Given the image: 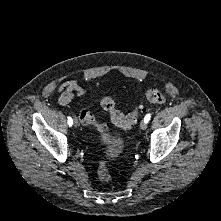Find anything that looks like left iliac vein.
<instances>
[{"label":"left iliac vein","instance_id":"left-iliac-vein-1","mask_svg":"<svg viewBox=\"0 0 221 221\" xmlns=\"http://www.w3.org/2000/svg\"><path fill=\"white\" fill-rule=\"evenodd\" d=\"M147 123L145 122V121H142L141 122V124H140V128L142 129V130H146L147 129Z\"/></svg>","mask_w":221,"mask_h":221}]
</instances>
